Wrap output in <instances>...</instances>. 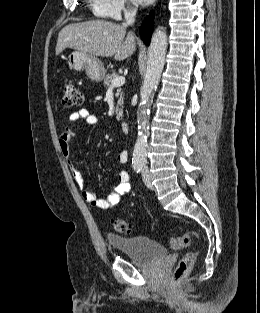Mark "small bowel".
I'll use <instances>...</instances> for the list:
<instances>
[{
    "label": "small bowel",
    "instance_id": "1",
    "mask_svg": "<svg viewBox=\"0 0 260 313\" xmlns=\"http://www.w3.org/2000/svg\"><path fill=\"white\" fill-rule=\"evenodd\" d=\"M80 120L84 121L89 126L98 124L97 116L87 109H81L69 115L70 122H77ZM73 135L74 130L71 127H66L59 134L58 141L61 153L67 160L75 183L81 192L82 198L86 203L98 209H111L115 207L120 202L122 196L131 192L132 188L128 172L120 171L117 176L118 183L115 186L113 192L106 199L99 198L94 191L86 187L80 171L76 168L73 162L69 146ZM117 161L120 164H125L128 161V152L126 150H121L117 154Z\"/></svg>",
    "mask_w": 260,
    "mask_h": 313
}]
</instances>
